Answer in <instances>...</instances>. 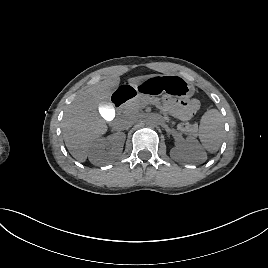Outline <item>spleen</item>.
Here are the masks:
<instances>
[{
  "instance_id": "3e777b00",
  "label": "spleen",
  "mask_w": 268,
  "mask_h": 268,
  "mask_svg": "<svg viewBox=\"0 0 268 268\" xmlns=\"http://www.w3.org/2000/svg\"><path fill=\"white\" fill-rule=\"evenodd\" d=\"M224 135V123L217 109H210L201 117L199 139L203 147L210 153L218 151Z\"/></svg>"
}]
</instances>
